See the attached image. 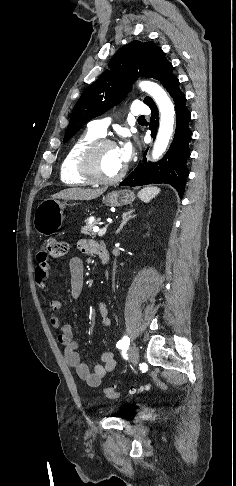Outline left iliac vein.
<instances>
[{"instance_id":"4c4485c4","label":"left iliac vein","mask_w":236,"mask_h":486,"mask_svg":"<svg viewBox=\"0 0 236 486\" xmlns=\"http://www.w3.org/2000/svg\"><path fill=\"white\" fill-rule=\"evenodd\" d=\"M128 356L132 365L136 366L139 362V350L135 344L129 348Z\"/></svg>"}]
</instances>
